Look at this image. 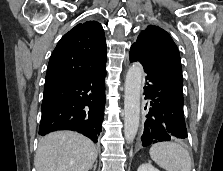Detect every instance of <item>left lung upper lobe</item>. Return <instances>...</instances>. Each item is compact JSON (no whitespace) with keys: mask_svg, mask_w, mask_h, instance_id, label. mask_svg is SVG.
I'll return each instance as SVG.
<instances>
[{"mask_svg":"<svg viewBox=\"0 0 223 171\" xmlns=\"http://www.w3.org/2000/svg\"><path fill=\"white\" fill-rule=\"evenodd\" d=\"M157 60L181 79L180 54L171 36L162 28L149 25L132 45Z\"/></svg>","mask_w":223,"mask_h":171,"instance_id":"left-lung-upper-lobe-1","label":"left lung upper lobe"}]
</instances>
